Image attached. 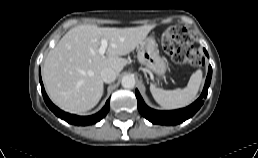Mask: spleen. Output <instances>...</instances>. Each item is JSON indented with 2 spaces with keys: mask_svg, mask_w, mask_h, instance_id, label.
<instances>
[{
  "mask_svg": "<svg viewBox=\"0 0 258 158\" xmlns=\"http://www.w3.org/2000/svg\"><path fill=\"white\" fill-rule=\"evenodd\" d=\"M202 82V71L199 69L189 79L187 87L175 90H163L154 85L150 91L155 101L166 109H178L191 104L198 93Z\"/></svg>",
  "mask_w": 258,
  "mask_h": 158,
  "instance_id": "spleen-1",
  "label": "spleen"
}]
</instances>
